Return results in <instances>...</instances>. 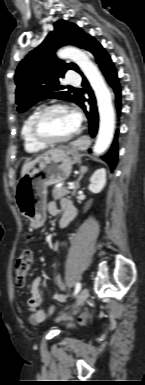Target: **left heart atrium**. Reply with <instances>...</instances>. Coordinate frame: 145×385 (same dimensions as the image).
I'll return each mask as SVG.
<instances>
[{"instance_id": "left-heart-atrium-1", "label": "left heart atrium", "mask_w": 145, "mask_h": 385, "mask_svg": "<svg viewBox=\"0 0 145 385\" xmlns=\"http://www.w3.org/2000/svg\"><path fill=\"white\" fill-rule=\"evenodd\" d=\"M72 116H73V118H74L76 124L79 125V124H80V121H81L80 115H79L78 113L75 112V113H72Z\"/></svg>"}]
</instances>
